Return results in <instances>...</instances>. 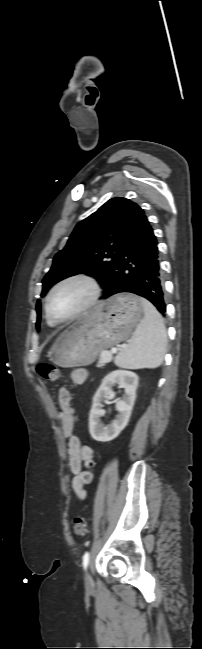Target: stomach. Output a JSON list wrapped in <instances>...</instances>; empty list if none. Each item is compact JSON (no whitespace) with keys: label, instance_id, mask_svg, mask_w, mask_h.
Segmentation results:
<instances>
[{"label":"stomach","instance_id":"stomach-1","mask_svg":"<svg viewBox=\"0 0 202 649\" xmlns=\"http://www.w3.org/2000/svg\"><path fill=\"white\" fill-rule=\"evenodd\" d=\"M143 316L141 298L114 295L63 331L47 357L60 367L88 365L101 351L127 339Z\"/></svg>","mask_w":202,"mask_h":649}]
</instances>
